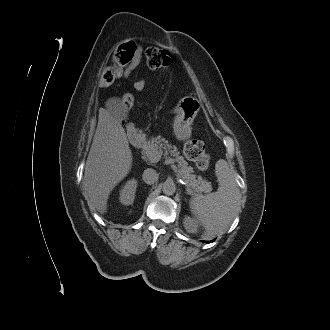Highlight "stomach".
<instances>
[{
  "instance_id": "1",
  "label": "stomach",
  "mask_w": 330,
  "mask_h": 330,
  "mask_svg": "<svg viewBox=\"0 0 330 330\" xmlns=\"http://www.w3.org/2000/svg\"><path fill=\"white\" fill-rule=\"evenodd\" d=\"M201 108V102L194 96H185L177 104L174 134L178 140L184 141L191 137V123Z\"/></svg>"
}]
</instances>
